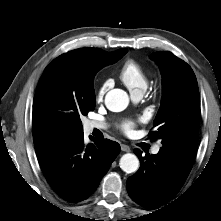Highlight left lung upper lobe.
I'll list each match as a JSON object with an SVG mask.
<instances>
[{
  "label": "left lung upper lobe",
  "instance_id": "left-lung-upper-lobe-1",
  "mask_svg": "<svg viewBox=\"0 0 221 221\" xmlns=\"http://www.w3.org/2000/svg\"><path fill=\"white\" fill-rule=\"evenodd\" d=\"M151 58L157 62L163 77V98L154 126L153 139L162 145H174L196 151L200 121L199 90L191 67L170 52H156Z\"/></svg>",
  "mask_w": 221,
  "mask_h": 221
}]
</instances>
